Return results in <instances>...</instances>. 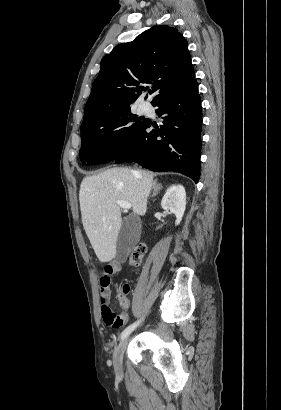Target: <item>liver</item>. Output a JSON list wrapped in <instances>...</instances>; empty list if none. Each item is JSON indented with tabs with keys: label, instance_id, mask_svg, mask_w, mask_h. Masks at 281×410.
I'll return each mask as SVG.
<instances>
[{
	"label": "liver",
	"instance_id": "obj_1",
	"mask_svg": "<svg viewBox=\"0 0 281 410\" xmlns=\"http://www.w3.org/2000/svg\"><path fill=\"white\" fill-rule=\"evenodd\" d=\"M154 174L146 170L111 168L85 177L80 185L82 224L101 262L116 257V244L122 227L117 201L129 202L134 213L143 216L153 188Z\"/></svg>",
	"mask_w": 281,
	"mask_h": 410
}]
</instances>
